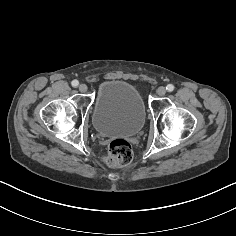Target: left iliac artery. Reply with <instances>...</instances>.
Listing matches in <instances>:
<instances>
[{
    "label": "left iliac artery",
    "mask_w": 236,
    "mask_h": 236,
    "mask_svg": "<svg viewBox=\"0 0 236 236\" xmlns=\"http://www.w3.org/2000/svg\"><path fill=\"white\" fill-rule=\"evenodd\" d=\"M166 90H167L168 92H172V91L174 90V86H173L172 84H168V85L166 86Z\"/></svg>",
    "instance_id": "1"
}]
</instances>
